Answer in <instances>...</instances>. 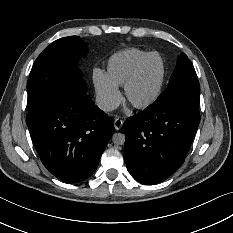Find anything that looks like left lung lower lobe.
Instances as JSON below:
<instances>
[{"label":"left lung lower lobe","mask_w":233,"mask_h":233,"mask_svg":"<svg viewBox=\"0 0 233 233\" xmlns=\"http://www.w3.org/2000/svg\"><path fill=\"white\" fill-rule=\"evenodd\" d=\"M200 122L199 106L151 105L123 124L124 158L130 174L156 184L184 163Z\"/></svg>","instance_id":"1"}]
</instances>
